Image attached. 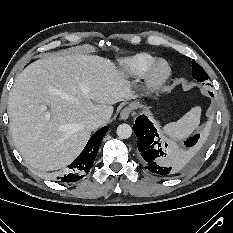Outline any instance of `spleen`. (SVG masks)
I'll use <instances>...</instances> for the list:
<instances>
[{"mask_svg": "<svg viewBox=\"0 0 233 233\" xmlns=\"http://www.w3.org/2000/svg\"><path fill=\"white\" fill-rule=\"evenodd\" d=\"M201 107L196 106L176 122L163 127L162 132L173 140H183L198 128L200 123Z\"/></svg>", "mask_w": 233, "mask_h": 233, "instance_id": "1", "label": "spleen"}]
</instances>
